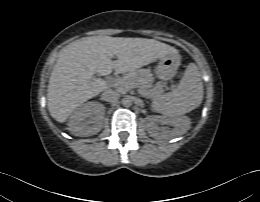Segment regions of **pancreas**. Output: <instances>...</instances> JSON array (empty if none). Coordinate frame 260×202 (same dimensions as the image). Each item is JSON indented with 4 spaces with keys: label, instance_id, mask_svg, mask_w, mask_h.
I'll list each match as a JSON object with an SVG mask.
<instances>
[{
    "label": "pancreas",
    "instance_id": "obj_1",
    "mask_svg": "<svg viewBox=\"0 0 260 202\" xmlns=\"http://www.w3.org/2000/svg\"><path fill=\"white\" fill-rule=\"evenodd\" d=\"M154 83V76L149 69L129 72L114 80L110 86L119 93H126L132 88H139V93L147 98H155L163 92L162 83Z\"/></svg>",
    "mask_w": 260,
    "mask_h": 202
}]
</instances>
